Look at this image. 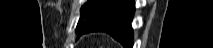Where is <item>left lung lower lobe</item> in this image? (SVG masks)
Returning a JSON list of instances; mask_svg holds the SVG:
<instances>
[{"mask_svg": "<svg viewBox=\"0 0 213 48\" xmlns=\"http://www.w3.org/2000/svg\"><path fill=\"white\" fill-rule=\"evenodd\" d=\"M134 6L133 0H116L96 13L81 33L107 32L124 48H132L133 32L130 22L134 15Z\"/></svg>", "mask_w": 213, "mask_h": 48, "instance_id": "left-lung-lower-lobe-1", "label": "left lung lower lobe"}]
</instances>
